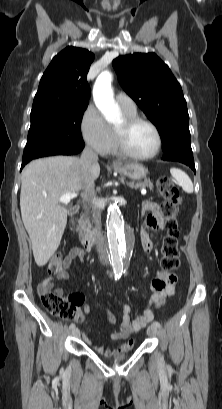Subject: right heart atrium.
<instances>
[{
	"label": "right heart atrium",
	"instance_id": "obj_1",
	"mask_svg": "<svg viewBox=\"0 0 222 409\" xmlns=\"http://www.w3.org/2000/svg\"><path fill=\"white\" fill-rule=\"evenodd\" d=\"M80 130L84 141L98 153H108L114 142V134L99 110L89 104L82 113Z\"/></svg>",
	"mask_w": 222,
	"mask_h": 409
}]
</instances>
